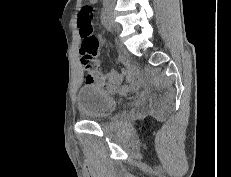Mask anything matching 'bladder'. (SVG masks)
<instances>
[{
	"label": "bladder",
	"instance_id": "bladder-1",
	"mask_svg": "<svg viewBox=\"0 0 231 177\" xmlns=\"http://www.w3.org/2000/svg\"><path fill=\"white\" fill-rule=\"evenodd\" d=\"M76 104L85 118L98 119L110 114L116 108L117 102L99 87L85 86L79 90Z\"/></svg>",
	"mask_w": 231,
	"mask_h": 177
}]
</instances>
